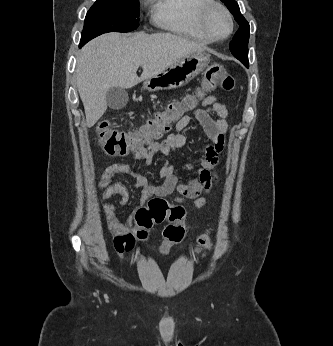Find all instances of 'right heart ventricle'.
<instances>
[{"label":"right heart ventricle","mask_w":333,"mask_h":346,"mask_svg":"<svg viewBox=\"0 0 333 346\" xmlns=\"http://www.w3.org/2000/svg\"><path fill=\"white\" fill-rule=\"evenodd\" d=\"M210 0H149L155 23L162 29L184 36L201 44L212 39L199 21L201 8Z\"/></svg>","instance_id":"e07e8e85"}]
</instances>
